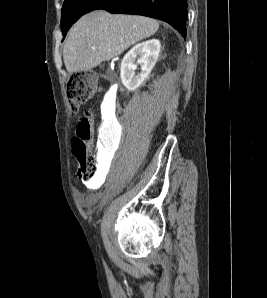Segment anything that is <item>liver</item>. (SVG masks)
<instances>
[{"label":"liver","mask_w":267,"mask_h":298,"mask_svg":"<svg viewBox=\"0 0 267 298\" xmlns=\"http://www.w3.org/2000/svg\"><path fill=\"white\" fill-rule=\"evenodd\" d=\"M158 29L159 23L148 17L103 10L90 12L69 32L63 50L65 67L69 73L91 70L154 35Z\"/></svg>","instance_id":"6515ba94"}]
</instances>
